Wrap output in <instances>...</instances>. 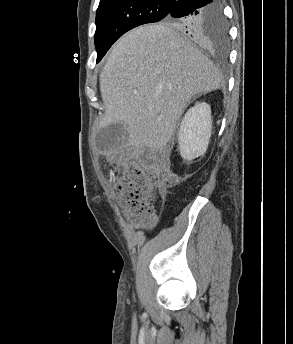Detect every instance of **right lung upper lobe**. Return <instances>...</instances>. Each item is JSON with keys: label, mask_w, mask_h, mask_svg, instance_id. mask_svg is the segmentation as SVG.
<instances>
[{"label": "right lung upper lobe", "mask_w": 293, "mask_h": 344, "mask_svg": "<svg viewBox=\"0 0 293 344\" xmlns=\"http://www.w3.org/2000/svg\"><path fill=\"white\" fill-rule=\"evenodd\" d=\"M103 1H106V0H100V2H103ZM169 1L175 2L176 0H169Z\"/></svg>", "instance_id": "obj_1"}]
</instances>
